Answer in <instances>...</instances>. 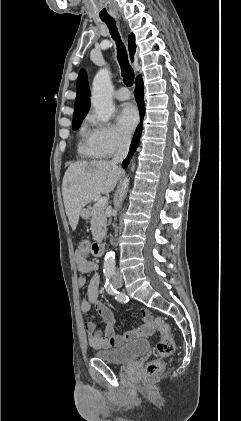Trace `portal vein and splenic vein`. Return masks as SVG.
<instances>
[{
    "label": "portal vein and splenic vein",
    "instance_id": "1",
    "mask_svg": "<svg viewBox=\"0 0 241 421\" xmlns=\"http://www.w3.org/2000/svg\"><path fill=\"white\" fill-rule=\"evenodd\" d=\"M107 202H108V199L106 197H101L97 200V203L95 205L97 207L102 208V207L106 206Z\"/></svg>",
    "mask_w": 241,
    "mask_h": 421
}]
</instances>
